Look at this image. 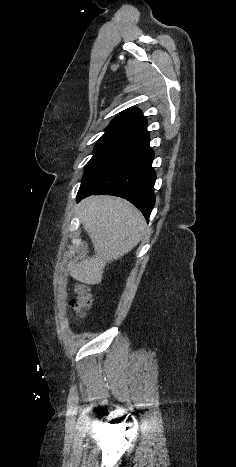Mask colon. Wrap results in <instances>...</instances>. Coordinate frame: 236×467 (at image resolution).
I'll list each match as a JSON object with an SVG mask.
<instances>
[{
	"label": "colon",
	"mask_w": 236,
	"mask_h": 467,
	"mask_svg": "<svg viewBox=\"0 0 236 467\" xmlns=\"http://www.w3.org/2000/svg\"><path fill=\"white\" fill-rule=\"evenodd\" d=\"M75 293L76 298L71 300L70 305L78 316H83L92 304L89 287L85 284L78 283L75 286Z\"/></svg>",
	"instance_id": "obj_1"
}]
</instances>
